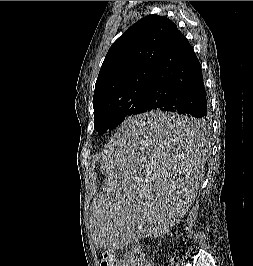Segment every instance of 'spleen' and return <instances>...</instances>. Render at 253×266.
Returning a JSON list of instances; mask_svg holds the SVG:
<instances>
[{
  "label": "spleen",
  "mask_w": 253,
  "mask_h": 266,
  "mask_svg": "<svg viewBox=\"0 0 253 266\" xmlns=\"http://www.w3.org/2000/svg\"><path fill=\"white\" fill-rule=\"evenodd\" d=\"M204 123L180 111L127 117L104 160L109 207H92L90 234L101 248H141L143 235L176 229L202 176Z\"/></svg>",
  "instance_id": "3e777b00"
}]
</instances>
